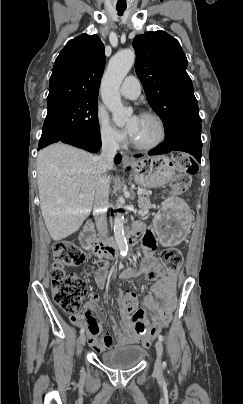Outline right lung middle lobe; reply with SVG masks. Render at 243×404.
<instances>
[{
    "label": "right lung middle lobe",
    "mask_w": 243,
    "mask_h": 404,
    "mask_svg": "<svg viewBox=\"0 0 243 404\" xmlns=\"http://www.w3.org/2000/svg\"><path fill=\"white\" fill-rule=\"evenodd\" d=\"M97 99L65 100L48 105L38 150L69 133L100 136Z\"/></svg>",
    "instance_id": "dd1d6c3e"
}]
</instances>
